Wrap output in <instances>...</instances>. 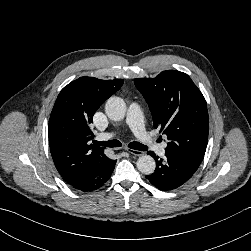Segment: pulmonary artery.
<instances>
[{"instance_id": "e3ab8cb5", "label": "pulmonary artery", "mask_w": 251, "mask_h": 251, "mask_svg": "<svg viewBox=\"0 0 251 251\" xmlns=\"http://www.w3.org/2000/svg\"><path fill=\"white\" fill-rule=\"evenodd\" d=\"M125 123L132 129L134 135L148 148L152 149L156 154L163 156L166 151V144L158 143L151 134L144 128L143 114L141 107L138 103L133 102L130 104ZM111 133L108 137L114 136Z\"/></svg>"}]
</instances>
